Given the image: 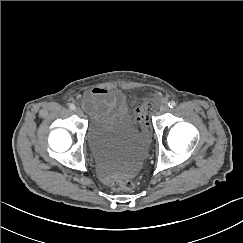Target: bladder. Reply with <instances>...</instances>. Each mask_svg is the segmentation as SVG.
<instances>
[{
	"label": "bladder",
	"instance_id": "bladder-1",
	"mask_svg": "<svg viewBox=\"0 0 243 243\" xmlns=\"http://www.w3.org/2000/svg\"><path fill=\"white\" fill-rule=\"evenodd\" d=\"M87 142L94 154L108 156L115 162L118 175H131L139 169L148 139L125 107L95 114L87 129Z\"/></svg>",
	"mask_w": 243,
	"mask_h": 243
}]
</instances>
